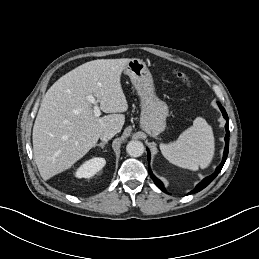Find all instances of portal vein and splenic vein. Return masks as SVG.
I'll use <instances>...</instances> for the list:
<instances>
[{
    "instance_id": "18ae733b",
    "label": "portal vein and splenic vein",
    "mask_w": 259,
    "mask_h": 259,
    "mask_svg": "<svg viewBox=\"0 0 259 259\" xmlns=\"http://www.w3.org/2000/svg\"><path fill=\"white\" fill-rule=\"evenodd\" d=\"M86 100L94 105V115L99 117L101 115V111L98 105V101L95 99V97L93 95H89L86 97Z\"/></svg>"
}]
</instances>
